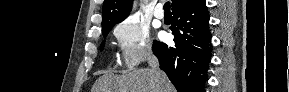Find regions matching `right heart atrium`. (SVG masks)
I'll return each mask as SVG.
<instances>
[{
    "mask_svg": "<svg viewBox=\"0 0 289 92\" xmlns=\"http://www.w3.org/2000/svg\"><path fill=\"white\" fill-rule=\"evenodd\" d=\"M113 33L125 67L134 68L151 55L149 30L138 19L129 17L122 20Z\"/></svg>",
    "mask_w": 289,
    "mask_h": 92,
    "instance_id": "right-heart-atrium-1",
    "label": "right heart atrium"
}]
</instances>
